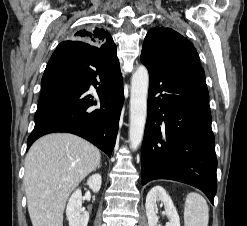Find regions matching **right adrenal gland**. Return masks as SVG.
Instances as JSON below:
<instances>
[{
	"instance_id": "1",
	"label": "right adrenal gland",
	"mask_w": 247,
	"mask_h": 226,
	"mask_svg": "<svg viewBox=\"0 0 247 226\" xmlns=\"http://www.w3.org/2000/svg\"><path fill=\"white\" fill-rule=\"evenodd\" d=\"M100 167H101V165L99 164V165H98V169H99Z\"/></svg>"
}]
</instances>
